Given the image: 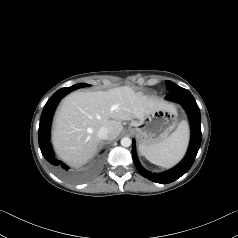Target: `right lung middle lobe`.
Listing matches in <instances>:
<instances>
[{"label":"right lung middle lobe","mask_w":238,"mask_h":238,"mask_svg":"<svg viewBox=\"0 0 238 238\" xmlns=\"http://www.w3.org/2000/svg\"><path fill=\"white\" fill-rule=\"evenodd\" d=\"M77 87L82 88V87H89V84L81 83V84H76Z\"/></svg>","instance_id":"obj_1"}]
</instances>
